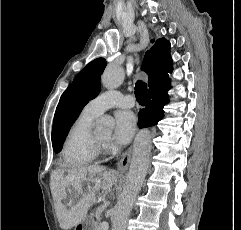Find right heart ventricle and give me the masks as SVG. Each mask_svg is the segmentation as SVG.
Listing matches in <instances>:
<instances>
[{"label": "right heart ventricle", "mask_w": 241, "mask_h": 230, "mask_svg": "<svg viewBox=\"0 0 241 230\" xmlns=\"http://www.w3.org/2000/svg\"><path fill=\"white\" fill-rule=\"evenodd\" d=\"M97 116L83 110L70 126L64 139L61 160L67 166H82L97 158L89 145L92 124Z\"/></svg>", "instance_id": "obj_1"}]
</instances>
